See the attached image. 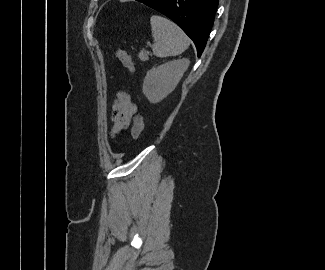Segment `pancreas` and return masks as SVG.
<instances>
[{
  "label": "pancreas",
  "instance_id": "cf45deb5",
  "mask_svg": "<svg viewBox=\"0 0 325 270\" xmlns=\"http://www.w3.org/2000/svg\"><path fill=\"white\" fill-rule=\"evenodd\" d=\"M149 52L145 51L144 49L141 50V52L138 54V57L141 61H147L149 59Z\"/></svg>",
  "mask_w": 325,
  "mask_h": 270
}]
</instances>
